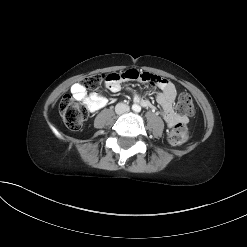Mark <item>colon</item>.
<instances>
[{"label": "colon", "instance_id": "1", "mask_svg": "<svg viewBox=\"0 0 247 247\" xmlns=\"http://www.w3.org/2000/svg\"><path fill=\"white\" fill-rule=\"evenodd\" d=\"M128 71V70H127ZM106 74H93L82 81L85 89H97L105 81ZM176 110L181 116H191L194 113V104L191 96L181 93L176 102ZM59 113L65 125L73 131L81 128L87 118V112L82 104L70 95L64 96L59 103ZM189 137V130L185 123H178L168 135L171 145L183 144Z\"/></svg>", "mask_w": 247, "mask_h": 247}]
</instances>
